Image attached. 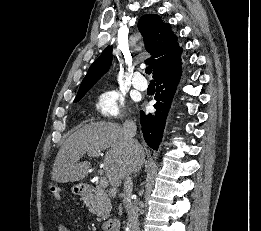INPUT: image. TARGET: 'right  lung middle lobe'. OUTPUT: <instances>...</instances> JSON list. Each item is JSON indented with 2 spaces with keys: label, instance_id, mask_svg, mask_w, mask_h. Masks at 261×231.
I'll list each match as a JSON object with an SVG mask.
<instances>
[{
  "label": "right lung middle lobe",
  "instance_id": "1",
  "mask_svg": "<svg viewBox=\"0 0 261 231\" xmlns=\"http://www.w3.org/2000/svg\"><path fill=\"white\" fill-rule=\"evenodd\" d=\"M85 94H86V92H84V93H78V94L76 95V98L74 99V103L78 102Z\"/></svg>",
  "mask_w": 261,
  "mask_h": 231
}]
</instances>
